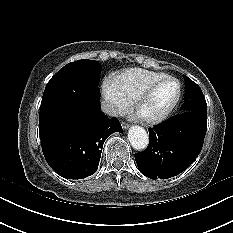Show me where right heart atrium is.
<instances>
[{"mask_svg":"<svg viewBox=\"0 0 233 233\" xmlns=\"http://www.w3.org/2000/svg\"><path fill=\"white\" fill-rule=\"evenodd\" d=\"M102 93L106 101V109L110 115L124 114L130 107L128 100L117 88L113 78L107 77L102 83Z\"/></svg>","mask_w":233,"mask_h":233,"instance_id":"right-heart-atrium-1","label":"right heart atrium"}]
</instances>
